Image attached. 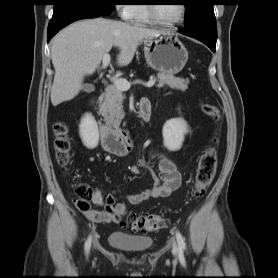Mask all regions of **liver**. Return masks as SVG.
<instances>
[{
  "mask_svg": "<svg viewBox=\"0 0 278 278\" xmlns=\"http://www.w3.org/2000/svg\"><path fill=\"white\" fill-rule=\"evenodd\" d=\"M162 31L104 18L73 23L52 41L51 60L55 69L51 102L57 106L75 98L82 89L83 77L93 74L103 55L112 47L120 49L117 61L128 65L140 42Z\"/></svg>",
  "mask_w": 278,
  "mask_h": 278,
  "instance_id": "obj_1",
  "label": "liver"
}]
</instances>
